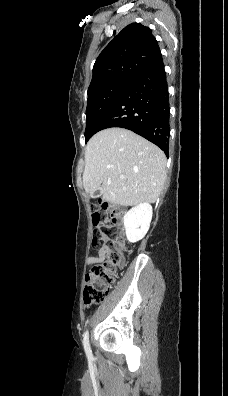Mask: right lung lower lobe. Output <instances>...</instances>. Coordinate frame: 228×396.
Wrapping results in <instances>:
<instances>
[{
	"instance_id": "obj_1",
	"label": "right lung lower lobe",
	"mask_w": 228,
	"mask_h": 396,
	"mask_svg": "<svg viewBox=\"0 0 228 396\" xmlns=\"http://www.w3.org/2000/svg\"><path fill=\"white\" fill-rule=\"evenodd\" d=\"M169 95L160 54L101 117L95 132L121 127L132 130L160 147L168 155Z\"/></svg>"
}]
</instances>
